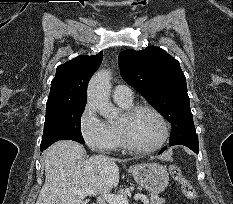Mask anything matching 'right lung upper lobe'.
<instances>
[{
  "instance_id": "1",
  "label": "right lung upper lobe",
  "mask_w": 233,
  "mask_h": 204,
  "mask_svg": "<svg viewBox=\"0 0 233 204\" xmlns=\"http://www.w3.org/2000/svg\"><path fill=\"white\" fill-rule=\"evenodd\" d=\"M102 59V52L94 56L81 55L58 66L47 104L85 102L86 85Z\"/></svg>"
}]
</instances>
